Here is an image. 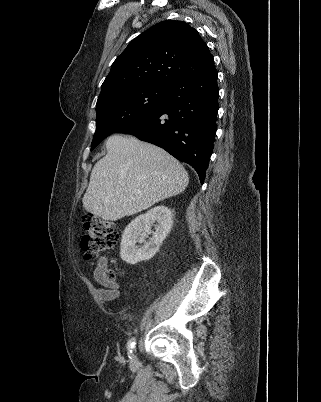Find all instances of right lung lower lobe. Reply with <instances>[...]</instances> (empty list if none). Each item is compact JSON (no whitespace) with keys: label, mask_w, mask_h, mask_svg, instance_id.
<instances>
[{"label":"right lung lower lobe","mask_w":321,"mask_h":402,"mask_svg":"<svg viewBox=\"0 0 321 402\" xmlns=\"http://www.w3.org/2000/svg\"><path fill=\"white\" fill-rule=\"evenodd\" d=\"M218 94L212 63L172 82L157 109L117 132L155 144L188 163L203 184L214 147Z\"/></svg>","instance_id":"obj_1"}]
</instances>
